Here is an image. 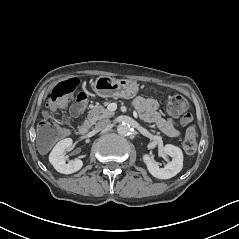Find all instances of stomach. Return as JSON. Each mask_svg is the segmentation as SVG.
I'll use <instances>...</instances> for the list:
<instances>
[{"instance_id": "obj_1", "label": "stomach", "mask_w": 239, "mask_h": 239, "mask_svg": "<svg viewBox=\"0 0 239 239\" xmlns=\"http://www.w3.org/2000/svg\"><path fill=\"white\" fill-rule=\"evenodd\" d=\"M92 89L102 98L118 97L131 99L138 94L139 84L131 79H116L107 75H101L94 81Z\"/></svg>"}]
</instances>
